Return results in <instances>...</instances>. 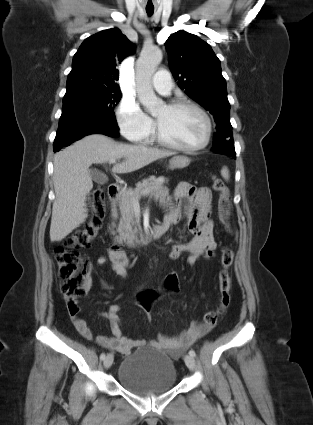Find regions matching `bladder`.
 I'll return each instance as SVG.
<instances>
[{
  "instance_id": "obj_1",
  "label": "bladder",
  "mask_w": 313,
  "mask_h": 425,
  "mask_svg": "<svg viewBox=\"0 0 313 425\" xmlns=\"http://www.w3.org/2000/svg\"><path fill=\"white\" fill-rule=\"evenodd\" d=\"M119 384L138 396L157 395L176 384V367L169 354L154 347L142 348L125 357L117 372Z\"/></svg>"
}]
</instances>
